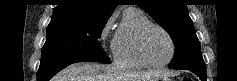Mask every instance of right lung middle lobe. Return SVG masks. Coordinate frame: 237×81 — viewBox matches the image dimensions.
<instances>
[{"mask_svg": "<svg viewBox=\"0 0 237 81\" xmlns=\"http://www.w3.org/2000/svg\"><path fill=\"white\" fill-rule=\"evenodd\" d=\"M106 22L107 19L76 16L51 19L42 58L92 56L110 62L98 40Z\"/></svg>", "mask_w": 237, "mask_h": 81, "instance_id": "dd1d6c3e", "label": "right lung middle lobe"}]
</instances>
